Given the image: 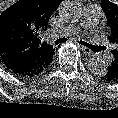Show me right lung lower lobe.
Instances as JSON below:
<instances>
[{
    "label": "right lung lower lobe",
    "mask_w": 118,
    "mask_h": 118,
    "mask_svg": "<svg viewBox=\"0 0 118 118\" xmlns=\"http://www.w3.org/2000/svg\"><path fill=\"white\" fill-rule=\"evenodd\" d=\"M7 70L17 76H34L42 72L37 63L28 59H4L1 60Z\"/></svg>",
    "instance_id": "obj_1"
}]
</instances>
